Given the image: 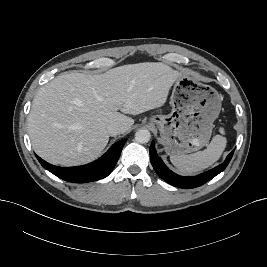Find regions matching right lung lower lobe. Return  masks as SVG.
<instances>
[{
	"label": "right lung lower lobe",
	"instance_id": "98d812e1",
	"mask_svg": "<svg viewBox=\"0 0 267 267\" xmlns=\"http://www.w3.org/2000/svg\"><path fill=\"white\" fill-rule=\"evenodd\" d=\"M126 140H121L100 159L83 166L58 167L51 165L36 155L40 164L57 177L73 183H87L107 177L114 169Z\"/></svg>",
	"mask_w": 267,
	"mask_h": 267
}]
</instances>
